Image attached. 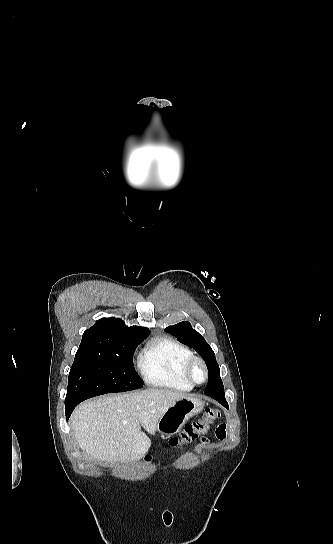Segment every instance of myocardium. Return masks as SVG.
I'll return each instance as SVG.
<instances>
[{
  "label": "myocardium",
  "instance_id": "f54148a6",
  "mask_svg": "<svg viewBox=\"0 0 333 544\" xmlns=\"http://www.w3.org/2000/svg\"><path fill=\"white\" fill-rule=\"evenodd\" d=\"M196 366H200L203 369L204 377L202 381H196L195 378L193 377V370ZM182 374L184 379L193 387L202 385L208 380L207 365L203 359L196 356H193L189 360L186 361L182 369Z\"/></svg>",
  "mask_w": 333,
  "mask_h": 544
}]
</instances>
